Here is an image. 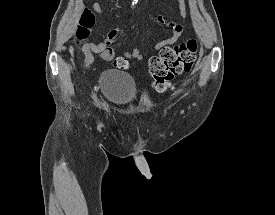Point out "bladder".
Returning a JSON list of instances; mask_svg holds the SVG:
<instances>
[{
    "instance_id": "bladder-1",
    "label": "bladder",
    "mask_w": 275,
    "mask_h": 215,
    "mask_svg": "<svg viewBox=\"0 0 275 215\" xmlns=\"http://www.w3.org/2000/svg\"><path fill=\"white\" fill-rule=\"evenodd\" d=\"M99 87L105 97L116 105H126L136 97V85L131 76L115 70L100 74Z\"/></svg>"
}]
</instances>
